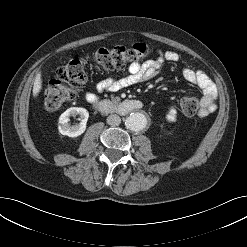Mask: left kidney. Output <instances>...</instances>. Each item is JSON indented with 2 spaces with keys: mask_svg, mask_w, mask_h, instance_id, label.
<instances>
[{
  "mask_svg": "<svg viewBox=\"0 0 247 247\" xmlns=\"http://www.w3.org/2000/svg\"><path fill=\"white\" fill-rule=\"evenodd\" d=\"M176 114L177 111L175 108H170L168 114L166 115V118L169 122H175L176 121Z\"/></svg>",
  "mask_w": 247,
  "mask_h": 247,
  "instance_id": "obj_1",
  "label": "left kidney"
}]
</instances>
